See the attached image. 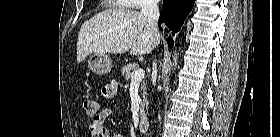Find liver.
Wrapping results in <instances>:
<instances>
[{
  "label": "liver",
  "instance_id": "6515ba94",
  "mask_svg": "<svg viewBox=\"0 0 280 137\" xmlns=\"http://www.w3.org/2000/svg\"><path fill=\"white\" fill-rule=\"evenodd\" d=\"M160 42L148 19L128 9H108L85 21L77 41V62L91 53L131 55L150 53Z\"/></svg>",
  "mask_w": 280,
  "mask_h": 137
}]
</instances>
